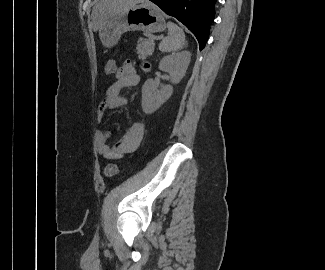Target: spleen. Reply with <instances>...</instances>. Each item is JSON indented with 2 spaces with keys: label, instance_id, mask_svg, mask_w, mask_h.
<instances>
[{
  "label": "spleen",
  "instance_id": "spleen-1",
  "mask_svg": "<svg viewBox=\"0 0 325 270\" xmlns=\"http://www.w3.org/2000/svg\"><path fill=\"white\" fill-rule=\"evenodd\" d=\"M168 36L159 44V50L162 52H173L183 48L185 44V34L183 29L172 22L167 23Z\"/></svg>",
  "mask_w": 325,
  "mask_h": 270
}]
</instances>
